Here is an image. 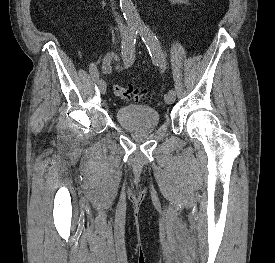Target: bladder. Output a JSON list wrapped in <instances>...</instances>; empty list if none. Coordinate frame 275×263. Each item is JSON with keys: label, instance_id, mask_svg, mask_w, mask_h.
Segmentation results:
<instances>
[{"label": "bladder", "instance_id": "obj_1", "mask_svg": "<svg viewBox=\"0 0 275 263\" xmlns=\"http://www.w3.org/2000/svg\"><path fill=\"white\" fill-rule=\"evenodd\" d=\"M115 116L121 126L131 131L155 128L160 121L157 110L143 105L122 106L116 110Z\"/></svg>", "mask_w": 275, "mask_h": 263}]
</instances>
